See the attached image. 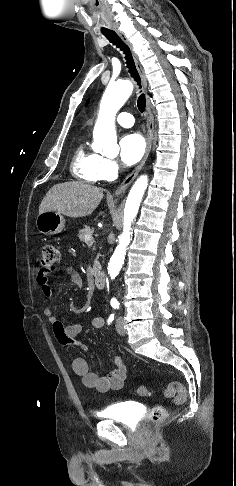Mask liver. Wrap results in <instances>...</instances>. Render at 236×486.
Returning <instances> with one entry per match:
<instances>
[{
	"instance_id": "obj_1",
	"label": "liver",
	"mask_w": 236,
	"mask_h": 486,
	"mask_svg": "<svg viewBox=\"0 0 236 486\" xmlns=\"http://www.w3.org/2000/svg\"><path fill=\"white\" fill-rule=\"evenodd\" d=\"M103 198V189L82 182L54 185L43 198L39 214L55 211L78 218L92 214Z\"/></svg>"
}]
</instances>
